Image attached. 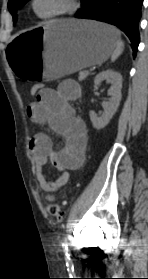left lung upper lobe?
Masks as SVG:
<instances>
[{
    "label": "left lung upper lobe",
    "instance_id": "left-lung-upper-lobe-1",
    "mask_svg": "<svg viewBox=\"0 0 148 279\" xmlns=\"http://www.w3.org/2000/svg\"><path fill=\"white\" fill-rule=\"evenodd\" d=\"M29 0H9L8 8L13 16L14 22L17 20L16 11L21 8Z\"/></svg>",
    "mask_w": 148,
    "mask_h": 279
}]
</instances>
